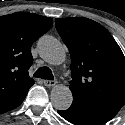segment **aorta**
Returning a JSON list of instances; mask_svg holds the SVG:
<instances>
[{"instance_id":"aorta-1","label":"aorta","mask_w":125,"mask_h":125,"mask_svg":"<svg viewBox=\"0 0 125 125\" xmlns=\"http://www.w3.org/2000/svg\"><path fill=\"white\" fill-rule=\"evenodd\" d=\"M40 57L51 65L61 64L66 57L65 48L60 41L51 36H44L38 42ZM51 102L57 110L68 109L73 101L67 86L56 85L51 90Z\"/></svg>"}]
</instances>
